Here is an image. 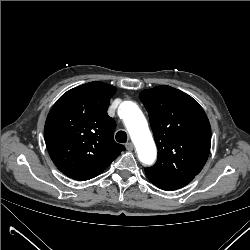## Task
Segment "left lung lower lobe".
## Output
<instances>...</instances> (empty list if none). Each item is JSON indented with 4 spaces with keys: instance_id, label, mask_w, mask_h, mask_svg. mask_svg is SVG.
Returning a JSON list of instances; mask_svg holds the SVG:
<instances>
[{
    "instance_id": "obj_1",
    "label": "left lung lower lobe",
    "mask_w": 250,
    "mask_h": 250,
    "mask_svg": "<svg viewBox=\"0 0 250 250\" xmlns=\"http://www.w3.org/2000/svg\"><path fill=\"white\" fill-rule=\"evenodd\" d=\"M148 179L158 188L171 191L179 189L190 183L195 176L181 175V176H163L152 173L145 169Z\"/></svg>"
}]
</instances>
